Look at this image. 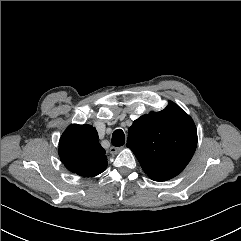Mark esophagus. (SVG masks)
Returning <instances> with one entry per match:
<instances>
[{
    "label": "esophagus",
    "instance_id": "esophagus-1",
    "mask_svg": "<svg viewBox=\"0 0 241 241\" xmlns=\"http://www.w3.org/2000/svg\"><path fill=\"white\" fill-rule=\"evenodd\" d=\"M122 147H110L109 151L111 154H117L119 151H121Z\"/></svg>",
    "mask_w": 241,
    "mask_h": 241
}]
</instances>
